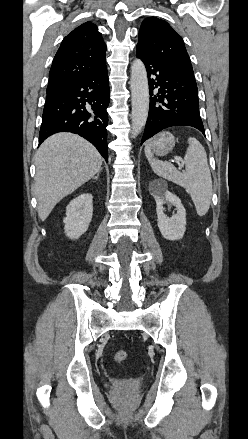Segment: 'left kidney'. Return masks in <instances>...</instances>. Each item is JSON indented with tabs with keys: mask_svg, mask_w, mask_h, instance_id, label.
Wrapping results in <instances>:
<instances>
[{
	"mask_svg": "<svg viewBox=\"0 0 248 439\" xmlns=\"http://www.w3.org/2000/svg\"><path fill=\"white\" fill-rule=\"evenodd\" d=\"M149 191L156 202L158 228L162 236L172 241L183 238L186 230V211L181 200L168 191L163 182L157 180L150 183ZM165 203L176 207L177 213L172 217L165 215L163 206Z\"/></svg>",
	"mask_w": 248,
	"mask_h": 439,
	"instance_id": "left-kidney-1",
	"label": "left kidney"
}]
</instances>
